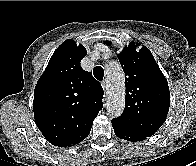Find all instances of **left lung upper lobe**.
<instances>
[{
  "mask_svg": "<svg viewBox=\"0 0 196 166\" xmlns=\"http://www.w3.org/2000/svg\"><path fill=\"white\" fill-rule=\"evenodd\" d=\"M105 43L111 45L108 41ZM118 59L125 72V110L112 122L150 137L164 123L169 111L168 82L145 46L137 51L135 43H130L118 54Z\"/></svg>",
  "mask_w": 196,
  "mask_h": 166,
  "instance_id": "obj_1",
  "label": "left lung upper lobe"
}]
</instances>
